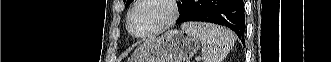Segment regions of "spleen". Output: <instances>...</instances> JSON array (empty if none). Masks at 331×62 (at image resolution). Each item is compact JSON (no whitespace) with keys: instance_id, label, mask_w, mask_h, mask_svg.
I'll list each match as a JSON object with an SVG mask.
<instances>
[{"instance_id":"spleen-1","label":"spleen","mask_w":331,"mask_h":62,"mask_svg":"<svg viewBox=\"0 0 331 62\" xmlns=\"http://www.w3.org/2000/svg\"><path fill=\"white\" fill-rule=\"evenodd\" d=\"M181 27L200 40L204 62H222L234 45V34L221 26L205 22H188Z\"/></svg>"}]
</instances>
